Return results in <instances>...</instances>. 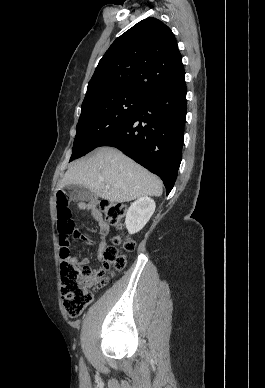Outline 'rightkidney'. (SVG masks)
I'll list each match as a JSON object with an SVG mask.
<instances>
[{"instance_id":"ca27d5eb","label":"right kidney","mask_w":265,"mask_h":388,"mask_svg":"<svg viewBox=\"0 0 265 388\" xmlns=\"http://www.w3.org/2000/svg\"><path fill=\"white\" fill-rule=\"evenodd\" d=\"M155 202L148 196L138 198L133 204H131L125 220V226L129 234H137L145 224L149 222L152 214L155 212Z\"/></svg>"}]
</instances>
